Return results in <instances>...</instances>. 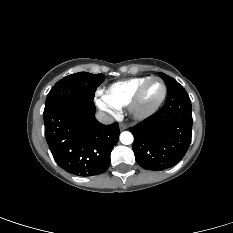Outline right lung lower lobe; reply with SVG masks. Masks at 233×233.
Here are the masks:
<instances>
[{"mask_svg": "<svg viewBox=\"0 0 233 233\" xmlns=\"http://www.w3.org/2000/svg\"><path fill=\"white\" fill-rule=\"evenodd\" d=\"M46 140L56 163L74 175L105 172L120 130L95 118L92 99L77 98L44 111Z\"/></svg>", "mask_w": 233, "mask_h": 233, "instance_id": "98d812e1", "label": "right lung lower lobe"}]
</instances>
